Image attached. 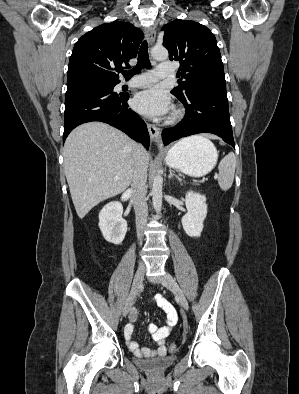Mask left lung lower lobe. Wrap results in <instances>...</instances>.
Masks as SVG:
<instances>
[{
	"label": "left lung lower lobe",
	"mask_w": 299,
	"mask_h": 394,
	"mask_svg": "<svg viewBox=\"0 0 299 394\" xmlns=\"http://www.w3.org/2000/svg\"><path fill=\"white\" fill-rule=\"evenodd\" d=\"M186 115L173 128L162 131L164 145L197 133H213L235 148L228 110L226 84H199L191 88L190 94L180 100Z\"/></svg>",
	"instance_id": "left-lung-lower-lobe-1"
}]
</instances>
